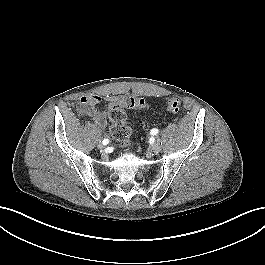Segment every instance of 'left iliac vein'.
I'll return each mask as SVG.
<instances>
[{
  "label": "left iliac vein",
  "instance_id": "4c4485c4",
  "mask_svg": "<svg viewBox=\"0 0 265 265\" xmlns=\"http://www.w3.org/2000/svg\"><path fill=\"white\" fill-rule=\"evenodd\" d=\"M153 152H159L162 149V144L157 139L151 146Z\"/></svg>",
  "mask_w": 265,
  "mask_h": 265
}]
</instances>
